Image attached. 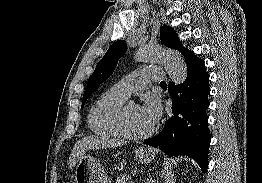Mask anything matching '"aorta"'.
I'll use <instances>...</instances> for the list:
<instances>
[{"label":"aorta","mask_w":262,"mask_h":183,"mask_svg":"<svg viewBox=\"0 0 262 183\" xmlns=\"http://www.w3.org/2000/svg\"><path fill=\"white\" fill-rule=\"evenodd\" d=\"M136 59L144 63L162 64L175 84H181L187 78V65L176 51L161 46H147L136 53Z\"/></svg>","instance_id":"aorta-1"}]
</instances>
